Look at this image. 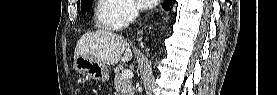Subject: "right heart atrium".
<instances>
[{"mask_svg": "<svg viewBox=\"0 0 277 95\" xmlns=\"http://www.w3.org/2000/svg\"><path fill=\"white\" fill-rule=\"evenodd\" d=\"M123 4L119 11L122 24H127L137 18L139 14L138 6L133 0H119Z\"/></svg>", "mask_w": 277, "mask_h": 95, "instance_id": "1", "label": "right heart atrium"}]
</instances>
